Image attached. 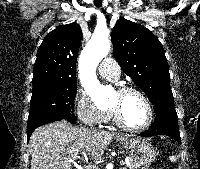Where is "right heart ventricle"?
Returning <instances> with one entry per match:
<instances>
[{
	"label": "right heart ventricle",
	"mask_w": 200,
	"mask_h": 169,
	"mask_svg": "<svg viewBox=\"0 0 200 169\" xmlns=\"http://www.w3.org/2000/svg\"><path fill=\"white\" fill-rule=\"evenodd\" d=\"M112 119H111V116H110V113H109V111H106V113H105V118H104V122H109V121H111Z\"/></svg>",
	"instance_id": "1"
}]
</instances>
